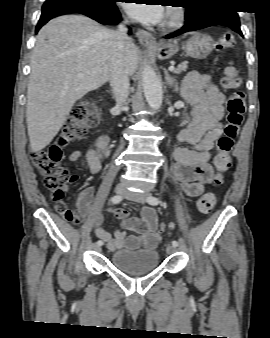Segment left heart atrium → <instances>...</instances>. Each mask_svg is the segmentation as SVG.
Returning <instances> with one entry per match:
<instances>
[{"mask_svg":"<svg viewBox=\"0 0 270 338\" xmlns=\"http://www.w3.org/2000/svg\"><path fill=\"white\" fill-rule=\"evenodd\" d=\"M133 1V0H129ZM125 10L139 21L158 23L164 16L161 5H141L138 3H124Z\"/></svg>","mask_w":270,"mask_h":338,"instance_id":"obj_1","label":"left heart atrium"}]
</instances>
